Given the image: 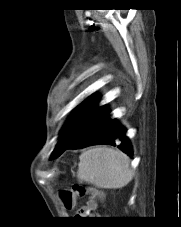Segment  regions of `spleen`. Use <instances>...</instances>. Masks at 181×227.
Instances as JSON below:
<instances>
[{
    "mask_svg": "<svg viewBox=\"0 0 181 227\" xmlns=\"http://www.w3.org/2000/svg\"><path fill=\"white\" fill-rule=\"evenodd\" d=\"M79 159L77 177L80 182L103 189H119L133 178L130 159L119 150L97 146L83 152Z\"/></svg>",
    "mask_w": 181,
    "mask_h": 227,
    "instance_id": "1",
    "label": "spleen"
}]
</instances>
